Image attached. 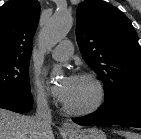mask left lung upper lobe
Wrapping results in <instances>:
<instances>
[{"label": "left lung upper lobe", "mask_w": 141, "mask_h": 139, "mask_svg": "<svg viewBox=\"0 0 141 139\" xmlns=\"http://www.w3.org/2000/svg\"><path fill=\"white\" fill-rule=\"evenodd\" d=\"M76 38L83 59L104 83L105 102L141 90V47L120 10L104 1L82 2Z\"/></svg>", "instance_id": "5c2ea615"}]
</instances>
